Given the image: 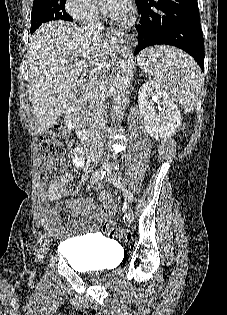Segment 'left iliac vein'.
Returning a JSON list of instances; mask_svg holds the SVG:
<instances>
[{"mask_svg": "<svg viewBox=\"0 0 227 315\" xmlns=\"http://www.w3.org/2000/svg\"><path fill=\"white\" fill-rule=\"evenodd\" d=\"M125 216H126L127 223L130 224L133 221V219H134V211H133V209L131 207H127L126 208V215Z\"/></svg>", "mask_w": 227, "mask_h": 315, "instance_id": "obj_1", "label": "left iliac vein"}]
</instances>
